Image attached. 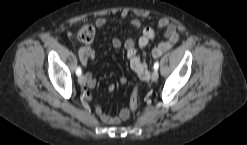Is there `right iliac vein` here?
Wrapping results in <instances>:
<instances>
[{"instance_id":"63e3f726","label":"right iliac vein","mask_w":247,"mask_h":145,"mask_svg":"<svg viewBox=\"0 0 247 145\" xmlns=\"http://www.w3.org/2000/svg\"><path fill=\"white\" fill-rule=\"evenodd\" d=\"M78 82H79V84H81V85H85V83H86V78H85V76H84V75H80L79 78H78Z\"/></svg>"}]
</instances>
